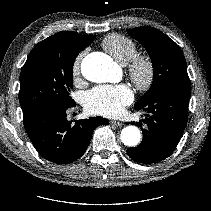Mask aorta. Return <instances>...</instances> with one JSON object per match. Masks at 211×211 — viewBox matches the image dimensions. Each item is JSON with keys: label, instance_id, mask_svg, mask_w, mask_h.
I'll return each mask as SVG.
<instances>
[{"label": "aorta", "instance_id": "1", "mask_svg": "<svg viewBox=\"0 0 211 211\" xmlns=\"http://www.w3.org/2000/svg\"><path fill=\"white\" fill-rule=\"evenodd\" d=\"M81 72L89 81L108 82L114 80L116 66L107 55L91 54L83 59ZM120 138L124 145L134 147L140 142V130L136 126H127L121 131Z\"/></svg>", "mask_w": 211, "mask_h": 211}]
</instances>
